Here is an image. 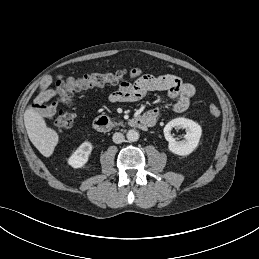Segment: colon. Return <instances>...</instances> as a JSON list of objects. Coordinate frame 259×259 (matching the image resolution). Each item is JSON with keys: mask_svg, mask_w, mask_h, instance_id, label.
<instances>
[{"mask_svg": "<svg viewBox=\"0 0 259 259\" xmlns=\"http://www.w3.org/2000/svg\"><path fill=\"white\" fill-rule=\"evenodd\" d=\"M127 77V71L119 70L112 73L91 74L80 78H68L57 82V95L59 101L66 107H71L72 96L84 89L99 87L106 84H120ZM209 113L213 117L220 115V110L215 105L209 106ZM75 117L73 113L61 112L55 119V126L59 131H66L73 128Z\"/></svg>", "mask_w": 259, "mask_h": 259, "instance_id": "1", "label": "colon"}]
</instances>
